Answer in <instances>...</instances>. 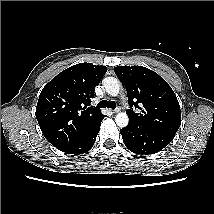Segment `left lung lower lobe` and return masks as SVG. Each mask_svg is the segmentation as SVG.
<instances>
[{"label": "left lung lower lobe", "instance_id": "obj_1", "mask_svg": "<svg viewBox=\"0 0 214 214\" xmlns=\"http://www.w3.org/2000/svg\"><path fill=\"white\" fill-rule=\"evenodd\" d=\"M123 142L133 153L140 155L154 154L166 147L173 135L129 124L120 130Z\"/></svg>", "mask_w": 214, "mask_h": 214}]
</instances>
